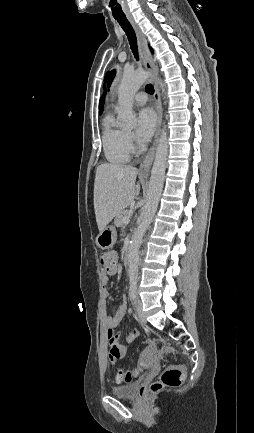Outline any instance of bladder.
Instances as JSON below:
<instances>
[{
  "mask_svg": "<svg viewBox=\"0 0 254 433\" xmlns=\"http://www.w3.org/2000/svg\"><path fill=\"white\" fill-rule=\"evenodd\" d=\"M139 391L138 382H132L124 385L113 386L111 388L112 395L119 398L134 399Z\"/></svg>",
  "mask_w": 254,
  "mask_h": 433,
  "instance_id": "bladder-1",
  "label": "bladder"
}]
</instances>
